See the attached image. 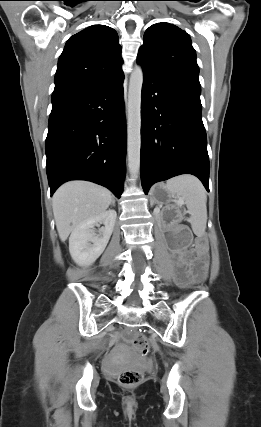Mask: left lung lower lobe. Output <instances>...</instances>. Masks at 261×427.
Wrapping results in <instances>:
<instances>
[{
  "label": "left lung lower lobe",
  "instance_id": "0a47b994",
  "mask_svg": "<svg viewBox=\"0 0 261 427\" xmlns=\"http://www.w3.org/2000/svg\"><path fill=\"white\" fill-rule=\"evenodd\" d=\"M141 65L140 171L145 194L155 182L180 174L195 175L209 191L199 81Z\"/></svg>",
  "mask_w": 261,
  "mask_h": 427
}]
</instances>
